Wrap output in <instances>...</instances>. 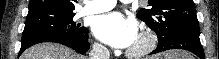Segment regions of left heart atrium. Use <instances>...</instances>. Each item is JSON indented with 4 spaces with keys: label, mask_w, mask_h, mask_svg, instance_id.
<instances>
[{
    "label": "left heart atrium",
    "mask_w": 219,
    "mask_h": 59,
    "mask_svg": "<svg viewBox=\"0 0 219 59\" xmlns=\"http://www.w3.org/2000/svg\"><path fill=\"white\" fill-rule=\"evenodd\" d=\"M92 31L96 38L112 47H130L138 38L136 22L120 12L97 16L93 20Z\"/></svg>",
    "instance_id": "1"
}]
</instances>
